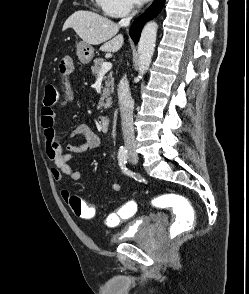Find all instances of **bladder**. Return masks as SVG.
<instances>
[{"label":"bladder","mask_w":249,"mask_h":294,"mask_svg":"<svg viewBox=\"0 0 249 294\" xmlns=\"http://www.w3.org/2000/svg\"><path fill=\"white\" fill-rule=\"evenodd\" d=\"M163 218L143 215L135 219L126 229L116 234L112 240L122 243L130 239H140L148 237L155 228V224L163 222Z\"/></svg>","instance_id":"1"}]
</instances>
